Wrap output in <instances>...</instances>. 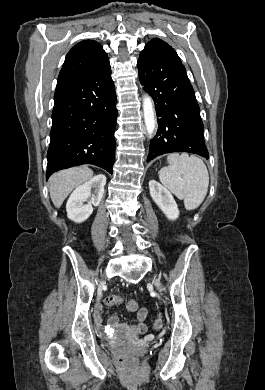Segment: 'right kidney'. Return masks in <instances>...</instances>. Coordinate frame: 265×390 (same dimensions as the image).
Wrapping results in <instances>:
<instances>
[{
  "instance_id": "obj_1",
  "label": "right kidney",
  "mask_w": 265,
  "mask_h": 390,
  "mask_svg": "<svg viewBox=\"0 0 265 390\" xmlns=\"http://www.w3.org/2000/svg\"><path fill=\"white\" fill-rule=\"evenodd\" d=\"M105 184L106 177L99 174L78 186L72 192L66 204L68 218L76 223L87 220L93 212V206L100 204ZM92 189L93 193H91Z\"/></svg>"
}]
</instances>
